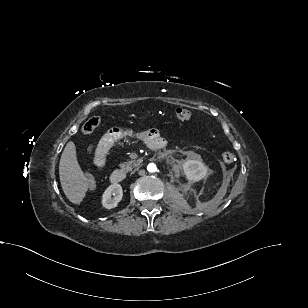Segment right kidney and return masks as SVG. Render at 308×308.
Instances as JSON below:
<instances>
[{
	"instance_id": "right-kidney-1",
	"label": "right kidney",
	"mask_w": 308,
	"mask_h": 308,
	"mask_svg": "<svg viewBox=\"0 0 308 308\" xmlns=\"http://www.w3.org/2000/svg\"><path fill=\"white\" fill-rule=\"evenodd\" d=\"M113 195V198L111 196ZM123 197V189L120 184H111L102 195V206L106 209L115 208Z\"/></svg>"
}]
</instances>
